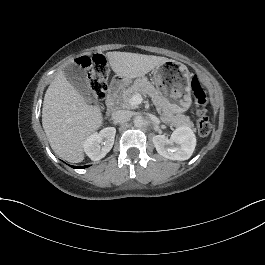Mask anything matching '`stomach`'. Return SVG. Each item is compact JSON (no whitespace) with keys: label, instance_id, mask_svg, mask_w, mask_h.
Listing matches in <instances>:
<instances>
[{"label":"stomach","instance_id":"obj_1","mask_svg":"<svg viewBox=\"0 0 265 265\" xmlns=\"http://www.w3.org/2000/svg\"><path fill=\"white\" fill-rule=\"evenodd\" d=\"M153 79L156 89L171 103L175 113L189 109L192 104L191 74L184 64L169 60L154 69Z\"/></svg>","mask_w":265,"mask_h":265}]
</instances>
